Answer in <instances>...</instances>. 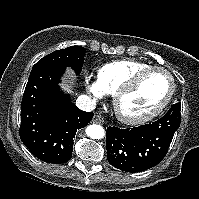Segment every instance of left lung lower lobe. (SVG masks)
<instances>
[{"instance_id":"1","label":"left lung lower lobe","mask_w":199,"mask_h":199,"mask_svg":"<svg viewBox=\"0 0 199 199\" xmlns=\"http://www.w3.org/2000/svg\"><path fill=\"white\" fill-rule=\"evenodd\" d=\"M181 104L153 123L130 129L108 127L106 149L109 163L126 172H141L156 166L165 157L181 122Z\"/></svg>"}]
</instances>
